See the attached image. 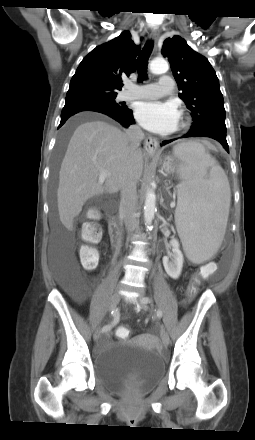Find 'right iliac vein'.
<instances>
[{"instance_id":"1","label":"right iliac vein","mask_w":255,"mask_h":440,"mask_svg":"<svg viewBox=\"0 0 255 440\" xmlns=\"http://www.w3.org/2000/svg\"><path fill=\"white\" fill-rule=\"evenodd\" d=\"M119 301H120V293L115 292L109 300L108 310L111 311V310L115 309V307L117 306ZM100 334H101V329L99 327V328H97V330L95 331L94 336H93L95 341H97L99 339Z\"/></svg>"}]
</instances>
